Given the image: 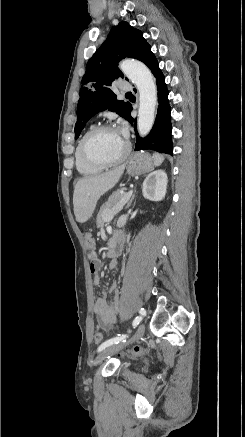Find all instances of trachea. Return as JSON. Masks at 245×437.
<instances>
[{
  "instance_id": "3493384b",
  "label": "trachea",
  "mask_w": 245,
  "mask_h": 437,
  "mask_svg": "<svg viewBox=\"0 0 245 437\" xmlns=\"http://www.w3.org/2000/svg\"><path fill=\"white\" fill-rule=\"evenodd\" d=\"M126 95H131V92L126 93Z\"/></svg>"
}]
</instances>
